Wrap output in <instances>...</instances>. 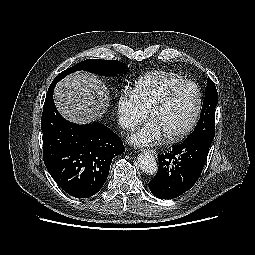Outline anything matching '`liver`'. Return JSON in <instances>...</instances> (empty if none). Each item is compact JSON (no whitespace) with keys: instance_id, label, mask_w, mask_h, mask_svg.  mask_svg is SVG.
Listing matches in <instances>:
<instances>
[{"instance_id":"liver-1","label":"liver","mask_w":255,"mask_h":255,"mask_svg":"<svg viewBox=\"0 0 255 255\" xmlns=\"http://www.w3.org/2000/svg\"><path fill=\"white\" fill-rule=\"evenodd\" d=\"M54 101L64 118L86 124L105 113L109 105V90L95 75L76 72L57 84Z\"/></svg>"}]
</instances>
